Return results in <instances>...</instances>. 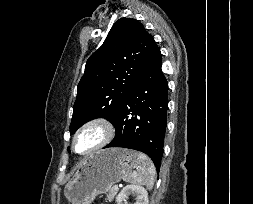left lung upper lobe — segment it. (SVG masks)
Returning <instances> with one entry per match:
<instances>
[{
  "label": "left lung upper lobe",
  "instance_id": "obj_1",
  "mask_svg": "<svg viewBox=\"0 0 253 204\" xmlns=\"http://www.w3.org/2000/svg\"><path fill=\"white\" fill-rule=\"evenodd\" d=\"M157 47L136 19L121 18L87 60L77 89L70 133L103 117L112 124Z\"/></svg>",
  "mask_w": 253,
  "mask_h": 204
}]
</instances>
